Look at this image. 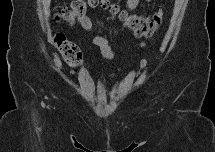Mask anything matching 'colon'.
Listing matches in <instances>:
<instances>
[{"label": "colon", "mask_w": 215, "mask_h": 152, "mask_svg": "<svg viewBox=\"0 0 215 152\" xmlns=\"http://www.w3.org/2000/svg\"><path fill=\"white\" fill-rule=\"evenodd\" d=\"M100 6L116 15L118 19L137 37H149L160 26L161 14L138 16L131 14L119 5L108 0H76L68 6L62 8L56 18L68 23L74 22L75 19L84 16L89 7ZM55 46L62 56L65 63L70 67H77L81 62V52L77 45L66 39L63 34L55 36Z\"/></svg>", "instance_id": "colon-1"}]
</instances>
